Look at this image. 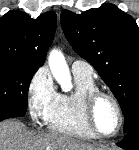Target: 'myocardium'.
Here are the masks:
<instances>
[{
  "instance_id": "f54148a6",
  "label": "myocardium",
  "mask_w": 139,
  "mask_h": 150,
  "mask_svg": "<svg viewBox=\"0 0 139 150\" xmlns=\"http://www.w3.org/2000/svg\"><path fill=\"white\" fill-rule=\"evenodd\" d=\"M102 97L108 98L113 103V105L116 109V112H117V116H118L117 128L111 134L101 133L97 129V127L95 125V121H94L95 105L98 102V100ZM83 115H84L85 122H86L88 128L90 129V131L96 137L102 138V139H109V138H113V137L117 136L120 133V131L123 127V123H124L123 111H122V108H121V105H120L118 99L112 93H110L108 91H103L100 89L92 90L85 95L84 101H83Z\"/></svg>"
}]
</instances>
